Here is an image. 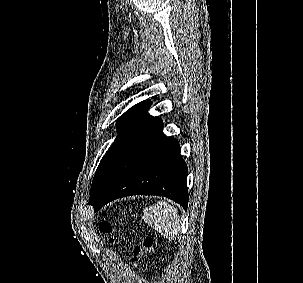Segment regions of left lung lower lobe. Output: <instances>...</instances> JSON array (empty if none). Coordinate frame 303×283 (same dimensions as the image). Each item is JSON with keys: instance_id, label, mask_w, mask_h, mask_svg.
Wrapping results in <instances>:
<instances>
[{"instance_id": "1", "label": "left lung lower lobe", "mask_w": 303, "mask_h": 283, "mask_svg": "<svg viewBox=\"0 0 303 283\" xmlns=\"http://www.w3.org/2000/svg\"><path fill=\"white\" fill-rule=\"evenodd\" d=\"M162 120L146 114L119 153L89 204L99 210L106 203L130 195L168 197L184 209L188 205L187 173L179 143L162 132Z\"/></svg>"}]
</instances>
